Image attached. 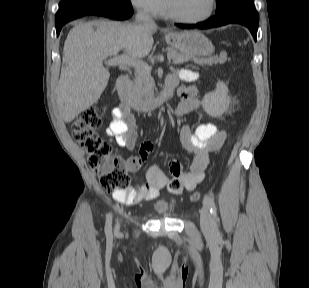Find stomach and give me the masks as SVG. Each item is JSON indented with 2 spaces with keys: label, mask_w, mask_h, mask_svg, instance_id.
Masks as SVG:
<instances>
[{
  "label": "stomach",
  "mask_w": 309,
  "mask_h": 288,
  "mask_svg": "<svg viewBox=\"0 0 309 288\" xmlns=\"http://www.w3.org/2000/svg\"><path fill=\"white\" fill-rule=\"evenodd\" d=\"M165 41L181 53L194 56H209L213 52L211 41L199 31L171 32Z\"/></svg>",
  "instance_id": "0dacf381"
}]
</instances>
